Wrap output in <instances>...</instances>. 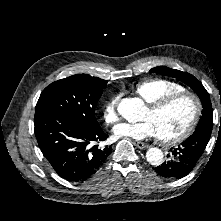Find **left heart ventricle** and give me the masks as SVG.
Returning a JSON list of instances; mask_svg holds the SVG:
<instances>
[{"instance_id":"1","label":"left heart ventricle","mask_w":221,"mask_h":221,"mask_svg":"<svg viewBox=\"0 0 221 221\" xmlns=\"http://www.w3.org/2000/svg\"><path fill=\"white\" fill-rule=\"evenodd\" d=\"M193 105L189 99H180L158 112L145 110L142 119L151 120L161 138H168L181 133L191 120Z\"/></svg>"}]
</instances>
